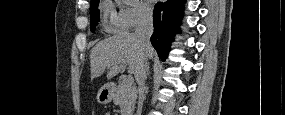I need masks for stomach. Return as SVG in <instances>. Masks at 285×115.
Listing matches in <instances>:
<instances>
[{
  "mask_svg": "<svg viewBox=\"0 0 285 115\" xmlns=\"http://www.w3.org/2000/svg\"><path fill=\"white\" fill-rule=\"evenodd\" d=\"M114 96V87L110 84L102 86L97 93V101L100 104H108Z\"/></svg>",
  "mask_w": 285,
  "mask_h": 115,
  "instance_id": "1",
  "label": "stomach"
}]
</instances>
